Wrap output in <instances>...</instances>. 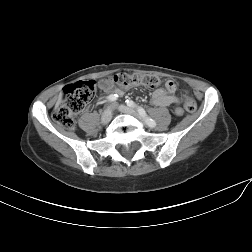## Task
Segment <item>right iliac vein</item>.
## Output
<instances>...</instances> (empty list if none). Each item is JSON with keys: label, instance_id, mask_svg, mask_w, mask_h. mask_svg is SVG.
<instances>
[{"label": "right iliac vein", "instance_id": "1", "mask_svg": "<svg viewBox=\"0 0 252 252\" xmlns=\"http://www.w3.org/2000/svg\"><path fill=\"white\" fill-rule=\"evenodd\" d=\"M112 118V109L108 107L102 114L101 123L106 125L110 122Z\"/></svg>", "mask_w": 252, "mask_h": 252}]
</instances>
